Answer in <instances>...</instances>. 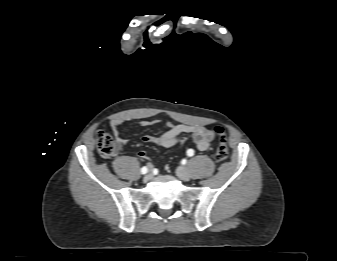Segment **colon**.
<instances>
[{
	"instance_id": "colon-1",
	"label": "colon",
	"mask_w": 337,
	"mask_h": 261,
	"mask_svg": "<svg viewBox=\"0 0 337 261\" xmlns=\"http://www.w3.org/2000/svg\"><path fill=\"white\" fill-rule=\"evenodd\" d=\"M213 131L219 138L218 146L215 151V159L217 161H224L228 158L229 154L224 129L220 126H216ZM96 143L98 153L102 158L112 157L117 150V145L113 138L104 131L97 132Z\"/></svg>"
}]
</instances>
